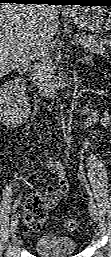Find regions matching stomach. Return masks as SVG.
<instances>
[{
	"label": "stomach",
	"instance_id": "stomach-1",
	"mask_svg": "<svg viewBox=\"0 0 111 257\" xmlns=\"http://www.w3.org/2000/svg\"><path fill=\"white\" fill-rule=\"evenodd\" d=\"M65 15L73 24L93 34H102L111 28V12L105 7L74 6Z\"/></svg>",
	"mask_w": 111,
	"mask_h": 257
}]
</instances>
